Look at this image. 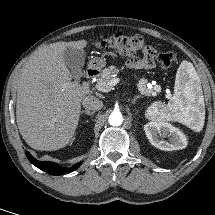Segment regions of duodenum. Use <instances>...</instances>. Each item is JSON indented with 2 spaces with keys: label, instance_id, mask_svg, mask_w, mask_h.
<instances>
[{
  "label": "duodenum",
  "instance_id": "duodenum-1",
  "mask_svg": "<svg viewBox=\"0 0 215 215\" xmlns=\"http://www.w3.org/2000/svg\"><path fill=\"white\" fill-rule=\"evenodd\" d=\"M99 74L98 70L94 67H90L86 70L85 76L87 79H93Z\"/></svg>",
  "mask_w": 215,
  "mask_h": 215
}]
</instances>
